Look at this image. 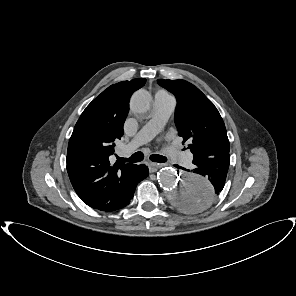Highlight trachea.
I'll return each instance as SVG.
<instances>
[{
    "instance_id": "obj_1",
    "label": "trachea",
    "mask_w": 296,
    "mask_h": 296,
    "mask_svg": "<svg viewBox=\"0 0 296 296\" xmlns=\"http://www.w3.org/2000/svg\"><path fill=\"white\" fill-rule=\"evenodd\" d=\"M143 159H144V154L139 151V152L134 153L129 158H120L119 157L118 161L121 163H124V162L137 163V162L142 161ZM150 160L153 162H166L167 158L162 155L152 154V155H150Z\"/></svg>"
}]
</instances>
